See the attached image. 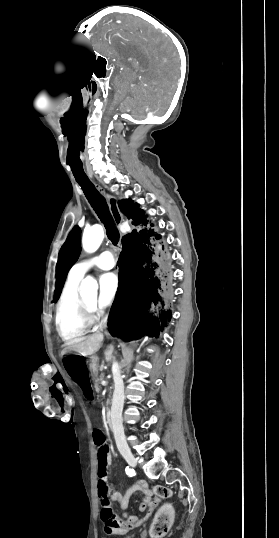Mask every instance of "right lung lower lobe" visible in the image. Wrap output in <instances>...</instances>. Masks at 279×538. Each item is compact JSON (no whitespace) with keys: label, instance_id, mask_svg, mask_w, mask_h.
<instances>
[{"label":"right lung lower lobe","instance_id":"right-lung-lower-lobe-1","mask_svg":"<svg viewBox=\"0 0 279 538\" xmlns=\"http://www.w3.org/2000/svg\"><path fill=\"white\" fill-rule=\"evenodd\" d=\"M119 207L133 219L135 229L123 237L119 288L110 310L109 331L128 340L145 334L158 336L171 319L168 308L174 298L169 256L159 241L161 235L143 228L148 221L138 204L122 200Z\"/></svg>","mask_w":279,"mask_h":538}]
</instances>
